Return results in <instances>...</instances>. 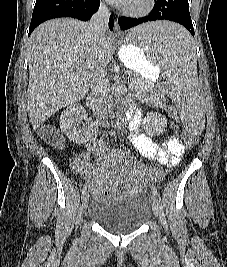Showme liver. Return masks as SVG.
I'll list each match as a JSON object with an SVG mask.
<instances>
[{
	"mask_svg": "<svg viewBox=\"0 0 227 267\" xmlns=\"http://www.w3.org/2000/svg\"><path fill=\"white\" fill-rule=\"evenodd\" d=\"M87 27L86 22L61 18L44 22L32 33L28 47L27 102L35 130L56 111L87 94L96 65L103 56L106 66L111 61L112 35L106 33L105 44L100 46Z\"/></svg>",
	"mask_w": 227,
	"mask_h": 267,
	"instance_id": "liver-1",
	"label": "liver"
}]
</instances>
